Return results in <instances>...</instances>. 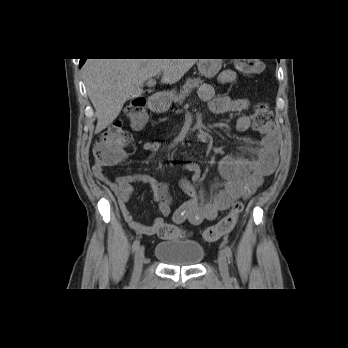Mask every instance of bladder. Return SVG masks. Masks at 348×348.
I'll return each mask as SVG.
<instances>
[{
    "instance_id": "obj_1",
    "label": "bladder",
    "mask_w": 348,
    "mask_h": 348,
    "mask_svg": "<svg viewBox=\"0 0 348 348\" xmlns=\"http://www.w3.org/2000/svg\"><path fill=\"white\" fill-rule=\"evenodd\" d=\"M204 254L203 246L195 241L171 240L157 244L154 249V256L168 266H196Z\"/></svg>"
}]
</instances>
